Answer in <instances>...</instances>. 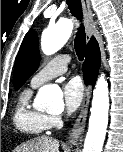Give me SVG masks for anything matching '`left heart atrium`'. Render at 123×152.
I'll return each mask as SVG.
<instances>
[{
  "label": "left heart atrium",
  "instance_id": "1",
  "mask_svg": "<svg viewBox=\"0 0 123 152\" xmlns=\"http://www.w3.org/2000/svg\"><path fill=\"white\" fill-rule=\"evenodd\" d=\"M83 95V85L78 78H71L64 83L63 97L65 109L68 113H73L79 108Z\"/></svg>",
  "mask_w": 123,
  "mask_h": 152
}]
</instances>
